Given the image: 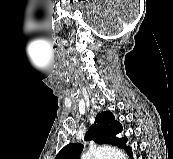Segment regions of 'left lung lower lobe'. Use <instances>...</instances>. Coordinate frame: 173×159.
Listing matches in <instances>:
<instances>
[{
    "instance_id": "0a47b994",
    "label": "left lung lower lobe",
    "mask_w": 173,
    "mask_h": 159,
    "mask_svg": "<svg viewBox=\"0 0 173 159\" xmlns=\"http://www.w3.org/2000/svg\"><path fill=\"white\" fill-rule=\"evenodd\" d=\"M127 153L130 156V159H133L131 148L127 150Z\"/></svg>"
}]
</instances>
